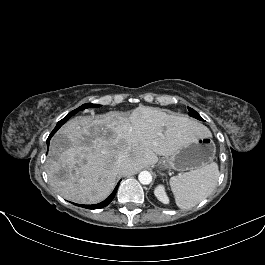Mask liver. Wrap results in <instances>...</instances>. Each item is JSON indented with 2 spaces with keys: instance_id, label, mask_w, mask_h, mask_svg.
Wrapping results in <instances>:
<instances>
[{
  "instance_id": "obj_1",
  "label": "liver",
  "mask_w": 265,
  "mask_h": 265,
  "mask_svg": "<svg viewBox=\"0 0 265 265\" xmlns=\"http://www.w3.org/2000/svg\"><path fill=\"white\" fill-rule=\"evenodd\" d=\"M210 134L193 119L140 106L127 117L110 111L69 120L51 143L46 171L65 199L95 204L106 199L120 174H134L168 157L187 137ZM119 158L125 168L118 167ZM63 171L64 174H58Z\"/></svg>"
}]
</instances>
